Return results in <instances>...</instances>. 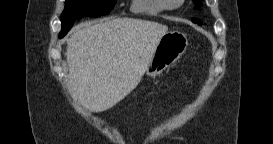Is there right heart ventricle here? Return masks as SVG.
<instances>
[{
    "instance_id": "e07e8e85",
    "label": "right heart ventricle",
    "mask_w": 273,
    "mask_h": 144,
    "mask_svg": "<svg viewBox=\"0 0 273 144\" xmlns=\"http://www.w3.org/2000/svg\"><path fill=\"white\" fill-rule=\"evenodd\" d=\"M133 11L146 15L160 13L164 6L162 0H134L132 3Z\"/></svg>"
}]
</instances>
